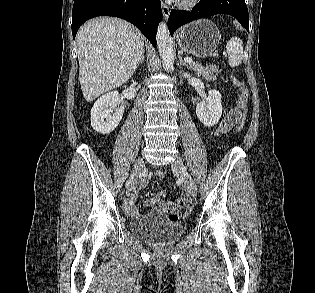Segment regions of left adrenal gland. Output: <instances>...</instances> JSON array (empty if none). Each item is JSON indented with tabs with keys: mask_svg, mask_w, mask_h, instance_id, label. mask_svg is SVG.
I'll list each match as a JSON object with an SVG mask.
<instances>
[{
	"mask_svg": "<svg viewBox=\"0 0 315 293\" xmlns=\"http://www.w3.org/2000/svg\"><path fill=\"white\" fill-rule=\"evenodd\" d=\"M178 57H179L180 65H181V66H185V67H187L188 70H190V67L188 66L187 63H185V62L183 61L182 57H181L180 55H179Z\"/></svg>",
	"mask_w": 315,
	"mask_h": 293,
	"instance_id": "left-adrenal-gland-1",
	"label": "left adrenal gland"
}]
</instances>
